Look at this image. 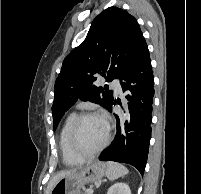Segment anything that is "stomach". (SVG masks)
Instances as JSON below:
<instances>
[{"mask_svg":"<svg viewBox=\"0 0 201 194\" xmlns=\"http://www.w3.org/2000/svg\"><path fill=\"white\" fill-rule=\"evenodd\" d=\"M107 172V166L101 162L90 163L75 173L61 178L50 194H78L87 183L100 181Z\"/></svg>","mask_w":201,"mask_h":194,"instance_id":"stomach-1","label":"stomach"}]
</instances>
